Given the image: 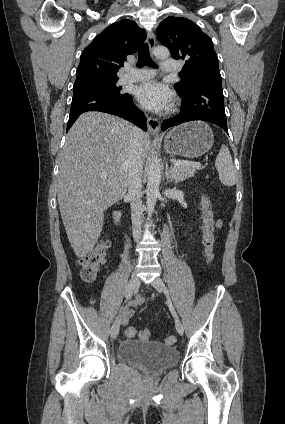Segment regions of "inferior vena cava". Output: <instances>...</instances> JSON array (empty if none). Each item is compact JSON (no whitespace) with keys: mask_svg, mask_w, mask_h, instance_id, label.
<instances>
[{"mask_svg":"<svg viewBox=\"0 0 285 424\" xmlns=\"http://www.w3.org/2000/svg\"><path fill=\"white\" fill-rule=\"evenodd\" d=\"M143 132L134 128L130 140L129 153L126 159L127 167V187L128 197L131 204V218H132V234L136 243L139 242L142 229V173H143V153L141 147V137Z\"/></svg>","mask_w":285,"mask_h":424,"instance_id":"602c4592","label":"inferior vena cava"}]
</instances>
